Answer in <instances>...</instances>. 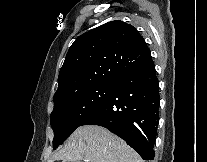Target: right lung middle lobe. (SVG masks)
Returning a JSON list of instances; mask_svg holds the SVG:
<instances>
[{
	"mask_svg": "<svg viewBox=\"0 0 207 162\" xmlns=\"http://www.w3.org/2000/svg\"><path fill=\"white\" fill-rule=\"evenodd\" d=\"M114 84H103L63 94L54 99L50 123L56 149L72 132L97 110L114 91Z\"/></svg>",
	"mask_w": 207,
	"mask_h": 162,
	"instance_id": "right-lung-middle-lobe-1",
	"label": "right lung middle lobe"
}]
</instances>
